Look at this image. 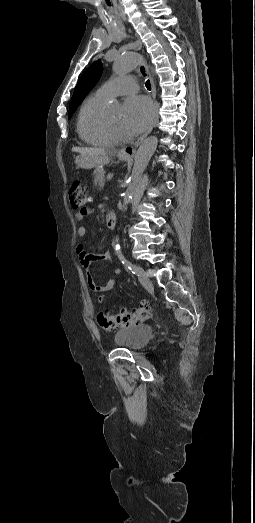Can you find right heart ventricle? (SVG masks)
<instances>
[{
  "mask_svg": "<svg viewBox=\"0 0 255 523\" xmlns=\"http://www.w3.org/2000/svg\"><path fill=\"white\" fill-rule=\"evenodd\" d=\"M110 97L98 89L82 104L77 122L79 137L94 146H110L116 142L104 125L103 109Z\"/></svg>",
  "mask_w": 255,
  "mask_h": 523,
  "instance_id": "obj_1",
  "label": "right heart ventricle"
}]
</instances>
